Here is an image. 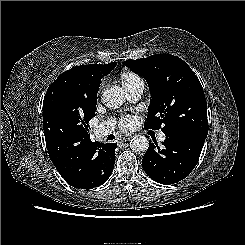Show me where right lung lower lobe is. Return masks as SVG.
I'll list each match as a JSON object with an SVG mask.
<instances>
[{
  "instance_id": "98d812e1",
  "label": "right lung lower lobe",
  "mask_w": 245,
  "mask_h": 245,
  "mask_svg": "<svg viewBox=\"0 0 245 245\" xmlns=\"http://www.w3.org/2000/svg\"><path fill=\"white\" fill-rule=\"evenodd\" d=\"M49 156L64 180L79 189H92L106 182L115 164L117 144L92 142L90 136L77 143L46 140Z\"/></svg>"
}]
</instances>
